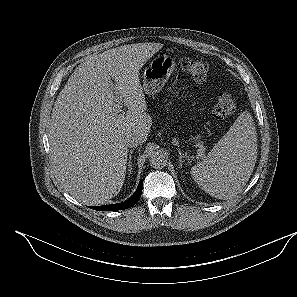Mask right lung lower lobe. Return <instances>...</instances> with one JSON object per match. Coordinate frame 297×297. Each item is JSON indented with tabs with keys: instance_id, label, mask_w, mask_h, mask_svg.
Segmentation results:
<instances>
[{
	"instance_id": "1",
	"label": "right lung lower lobe",
	"mask_w": 297,
	"mask_h": 297,
	"mask_svg": "<svg viewBox=\"0 0 297 297\" xmlns=\"http://www.w3.org/2000/svg\"><path fill=\"white\" fill-rule=\"evenodd\" d=\"M142 189H143V181L141 180L139 182L137 190L127 201L122 202L120 204L105 205V206H98V207H91V208L99 211H114V210H122V209L130 208L133 205H135L138 199L140 198Z\"/></svg>"
}]
</instances>
